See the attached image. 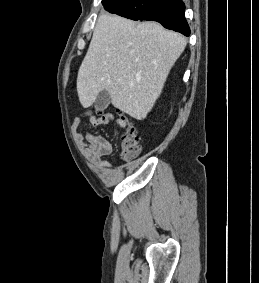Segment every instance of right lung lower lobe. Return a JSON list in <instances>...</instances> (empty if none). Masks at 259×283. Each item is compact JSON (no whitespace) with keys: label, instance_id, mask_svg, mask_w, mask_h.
<instances>
[{"label":"right lung lower lobe","instance_id":"98d812e1","mask_svg":"<svg viewBox=\"0 0 259 283\" xmlns=\"http://www.w3.org/2000/svg\"><path fill=\"white\" fill-rule=\"evenodd\" d=\"M105 10L132 19L153 20L165 28L190 35L182 0H102Z\"/></svg>","mask_w":259,"mask_h":283}]
</instances>
